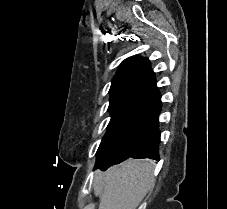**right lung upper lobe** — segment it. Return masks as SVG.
<instances>
[{"label": "right lung upper lobe", "mask_w": 227, "mask_h": 209, "mask_svg": "<svg viewBox=\"0 0 227 209\" xmlns=\"http://www.w3.org/2000/svg\"><path fill=\"white\" fill-rule=\"evenodd\" d=\"M109 93V108L123 100L153 109L161 103L150 62L147 58L138 56H132L121 63Z\"/></svg>", "instance_id": "obj_1"}]
</instances>
